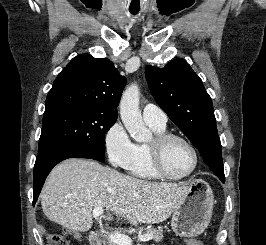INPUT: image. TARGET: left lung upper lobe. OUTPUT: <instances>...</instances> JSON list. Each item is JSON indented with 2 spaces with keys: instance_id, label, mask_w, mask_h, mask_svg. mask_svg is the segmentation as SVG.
Masks as SVG:
<instances>
[{
  "instance_id": "5c2ea615",
  "label": "left lung upper lobe",
  "mask_w": 266,
  "mask_h": 245,
  "mask_svg": "<svg viewBox=\"0 0 266 245\" xmlns=\"http://www.w3.org/2000/svg\"><path fill=\"white\" fill-rule=\"evenodd\" d=\"M145 75L159 106L199 149L209 168L225 177L212 100L201 79L183 59L172 60L164 68L147 66Z\"/></svg>"
}]
</instances>
